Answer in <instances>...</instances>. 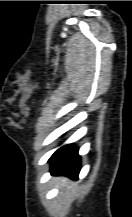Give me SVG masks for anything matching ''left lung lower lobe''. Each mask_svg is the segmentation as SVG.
<instances>
[{
	"instance_id": "left-lung-lower-lobe-1",
	"label": "left lung lower lobe",
	"mask_w": 132,
	"mask_h": 217,
	"mask_svg": "<svg viewBox=\"0 0 132 217\" xmlns=\"http://www.w3.org/2000/svg\"><path fill=\"white\" fill-rule=\"evenodd\" d=\"M51 164L52 174L67 175L74 180L78 179L80 171V156L78 148L73 144L58 149L48 161Z\"/></svg>"
}]
</instances>
